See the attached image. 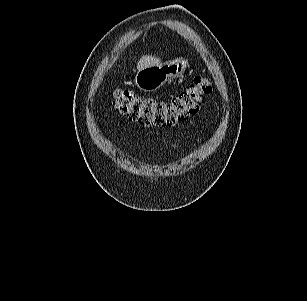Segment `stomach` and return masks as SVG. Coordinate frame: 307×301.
I'll return each mask as SVG.
<instances>
[{
  "label": "stomach",
  "mask_w": 307,
  "mask_h": 301,
  "mask_svg": "<svg viewBox=\"0 0 307 301\" xmlns=\"http://www.w3.org/2000/svg\"><path fill=\"white\" fill-rule=\"evenodd\" d=\"M187 67H189L188 60L178 57L163 64L138 70L134 82L140 90L155 91L168 80L182 77Z\"/></svg>",
  "instance_id": "1"
}]
</instances>
